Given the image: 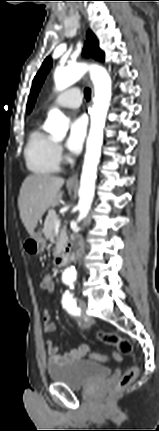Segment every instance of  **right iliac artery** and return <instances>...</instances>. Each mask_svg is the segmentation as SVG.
Instances as JSON below:
<instances>
[{
  "mask_svg": "<svg viewBox=\"0 0 159 431\" xmlns=\"http://www.w3.org/2000/svg\"><path fill=\"white\" fill-rule=\"evenodd\" d=\"M70 287H73V285H72V284H70Z\"/></svg>",
  "mask_w": 159,
  "mask_h": 431,
  "instance_id": "82829eb1",
  "label": "right iliac artery"
}]
</instances>
